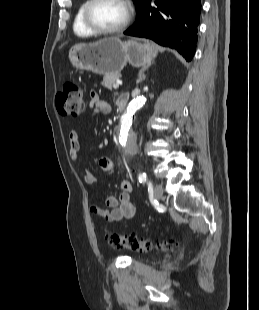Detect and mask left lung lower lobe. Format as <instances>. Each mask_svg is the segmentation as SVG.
Instances as JSON below:
<instances>
[{"label":"left lung lower lobe","mask_w":259,"mask_h":310,"mask_svg":"<svg viewBox=\"0 0 259 310\" xmlns=\"http://www.w3.org/2000/svg\"><path fill=\"white\" fill-rule=\"evenodd\" d=\"M143 0L136 22L124 34L145 37L176 49L190 61L195 54L201 0Z\"/></svg>","instance_id":"0a47b994"}]
</instances>
